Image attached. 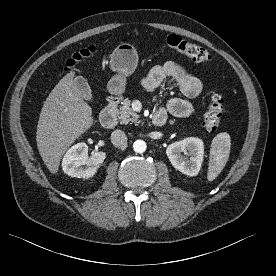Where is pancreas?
<instances>
[{"instance_id": "cf45deb5", "label": "pancreas", "mask_w": 276, "mask_h": 276, "mask_svg": "<svg viewBox=\"0 0 276 276\" xmlns=\"http://www.w3.org/2000/svg\"><path fill=\"white\" fill-rule=\"evenodd\" d=\"M130 105L131 101L126 98L118 110V118L121 124L138 123L139 115L131 109Z\"/></svg>"}]
</instances>
